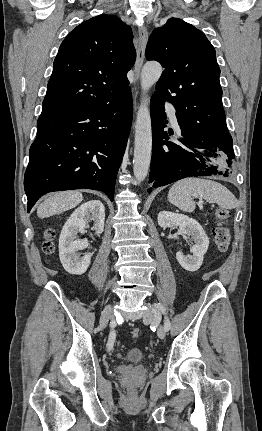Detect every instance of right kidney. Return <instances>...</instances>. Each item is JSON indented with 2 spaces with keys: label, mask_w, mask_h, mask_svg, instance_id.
Segmentation results:
<instances>
[{
  "label": "right kidney",
  "mask_w": 262,
  "mask_h": 431,
  "mask_svg": "<svg viewBox=\"0 0 262 431\" xmlns=\"http://www.w3.org/2000/svg\"><path fill=\"white\" fill-rule=\"evenodd\" d=\"M87 220L94 221L97 234L104 230L105 208L99 200L88 201L79 206L68 218L62 228L59 238V257L64 269L74 275L86 272L92 253H86L80 258L79 250L88 248V242L77 237V233H84Z\"/></svg>",
  "instance_id": "1"
}]
</instances>
